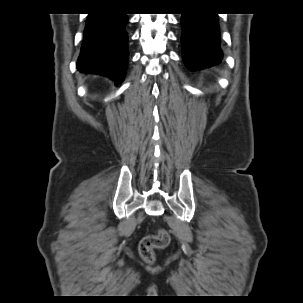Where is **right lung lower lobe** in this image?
I'll return each mask as SVG.
<instances>
[{
	"mask_svg": "<svg viewBox=\"0 0 303 303\" xmlns=\"http://www.w3.org/2000/svg\"><path fill=\"white\" fill-rule=\"evenodd\" d=\"M127 23L128 17L123 13L90 14L77 69L121 83L129 59Z\"/></svg>",
	"mask_w": 303,
	"mask_h": 303,
	"instance_id": "right-lung-lower-lobe-1",
	"label": "right lung lower lobe"
}]
</instances>
